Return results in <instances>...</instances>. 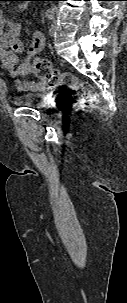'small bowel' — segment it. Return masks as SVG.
I'll use <instances>...</instances> for the list:
<instances>
[{"label":"small bowel","instance_id":"small-bowel-1","mask_svg":"<svg viewBox=\"0 0 127 303\" xmlns=\"http://www.w3.org/2000/svg\"><path fill=\"white\" fill-rule=\"evenodd\" d=\"M21 24L12 19H7L0 11V63L11 77H25L35 74L32 59L42 51L45 37L39 31H35L30 45L25 49L19 40ZM46 86L41 78L25 81L17 80L16 87L19 91H38Z\"/></svg>","mask_w":127,"mask_h":303}]
</instances>
